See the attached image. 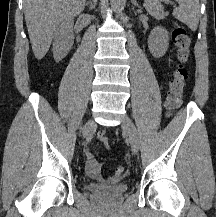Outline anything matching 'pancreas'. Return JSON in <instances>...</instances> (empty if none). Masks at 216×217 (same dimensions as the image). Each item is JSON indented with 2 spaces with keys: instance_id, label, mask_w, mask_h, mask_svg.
Wrapping results in <instances>:
<instances>
[{
  "instance_id": "obj_1",
  "label": "pancreas",
  "mask_w": 216,
  "mask_h": 217,
  "mask_svg": "<svg viewBox=\"0 0 216 217\" xmlns=\"http://www.w3.org/2000/svg\"><path fill=\"white\" fill-rule=\"evenodd\" d=\"M144 7L148 13L156 19H163L168 15L164 11L163 6L158 3V0H145Z\"/></svg>"
}]
</instances>
